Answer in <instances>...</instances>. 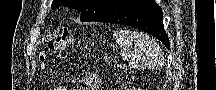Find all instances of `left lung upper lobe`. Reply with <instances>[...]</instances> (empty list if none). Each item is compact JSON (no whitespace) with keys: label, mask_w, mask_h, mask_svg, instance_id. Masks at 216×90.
<instances>
[{"label":"left lung upper lobe","mask_w":216,"mask_h":90,"mask_svg":"<svg viewBox=\"0 0 216 90\" xmlns=\"http://www.w3.org/2000/svg\"><path fill=\"white\" fill-rule=\"evenodd\" d=\"M128 0H53L51 8L64 5L74 8L82 13L80 20L91 22L102 14L122 6Z\"/></svg>","instance_id":"1"}]
</instances>
